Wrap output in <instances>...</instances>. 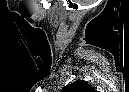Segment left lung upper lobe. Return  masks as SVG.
<instances>
[{
  "mask_svg": "<svg viewBox=\"0 0 129 92\" xmlns=\"http://www.w3.org/2000/svg\"><path fill=\"white\" fill-rule=\"evenodd\" d=\"M62 92H95V90L86 81H75L67 85Z\"/></svg>",
  "mask_w": 129,
  "mask_h": 92,
  "instance_id": "obj_1",
  "label": "left lung upper lobe"
}]
</instances>
